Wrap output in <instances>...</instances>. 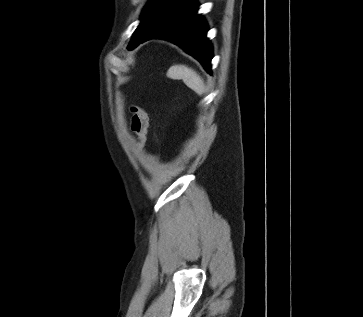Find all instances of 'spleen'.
<instances>
[{
  "instance_id": "spleen-1",
  "label": "spleen",
  "mask_w": 363,
  "mask_h": 317,
  "mask_svg": "<svg viewBox=\"0 0 363 317\" xmlns=\"http://www.w3.org/2000/svg\"><path fill=\"white\" fill-rule=\"evenodd\" d=\"M172 79L183 80V82L195 91L198 95L204 92V83L202 78L191 68L185 65H173L168 71Z\"/></svg>"
}]
</instances>
